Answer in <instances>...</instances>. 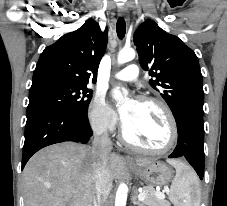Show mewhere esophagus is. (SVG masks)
Segmentation results:
<instances>
[{
	"instance_id": "esophagus-1",
	"label": "esophagus",
	"mask_w": 227,
	"mask_h": 206,
	"mask_svg": "<svg viewBox=\"0 0 227 206\" xmlns=\"http://www.w3.org/2000/svg\"><path fill=\"white\" fill-rule=\"evenodd\" d=\"M119 15H120L121 17H125V16H126V9H125L124 7L120 8V10H119ZM123 159H124L125 161H129V160H130V158H129L128 156H123Z\"/></svg>"
}]
</instances>
